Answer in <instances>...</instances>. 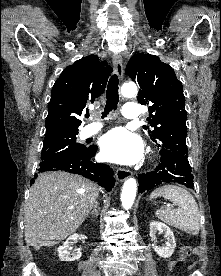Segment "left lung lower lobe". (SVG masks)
I'll return each mask as SVG.
<instances>
[{"label": "left lung lower lobe", "instance_id": "1", "mask_svg": "<svg viewBox=\"0 0 221 276\" xmlns=\"http://www.w3.org/2000/svg\"><path fill=\"white\" fill-rule=\"evenodd\" d=\"M160 163L154 171L138 176V192L143 193L163 183H179L193 188V175L186 151L160 150Z\"/></svg>", "mask_w": 221, "mask_h": 276}]
</instances>
